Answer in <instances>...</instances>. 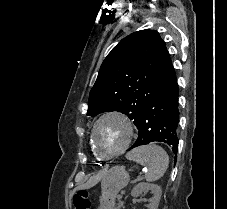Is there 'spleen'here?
<instances>
[{
    "mask_svg": "<svg viewBox=\"0 0 227 209\" xmlns=\"http://www.w3.org/2000/svg\"><path fill=\"white\" fill-rule=\"evenodd\" d=\"M128 161H135L142 167H146L147 173L145 175L146 181H158L166 173L169 165V157L158 145H142L136 147L133 151H129L126 155Z\"/></svg>",
    "mask_w": 227,
    "mask_h": 209,
    "instance_id": "1",
    "label": "spleen"
}]
</instances>
